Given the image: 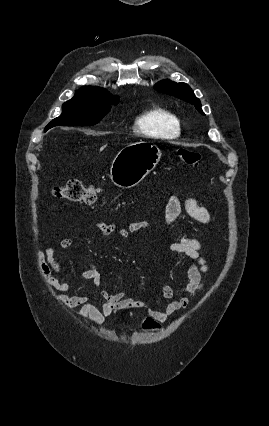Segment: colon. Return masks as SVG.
<instances>
[{
  "label": "colon",
  "mask_w": 269,
  "mask_h": 426,
  "mask_svg": "<svg viewBox=\"0 0 269 426\" xmlns=\"http://www.w3.org/2000/svg\"><path fill=\"white\" fill-rule=\"evenodd\" d=\"M177 153L180 161L185 165L195 166L199 163L200 155L196 151L179 149ZM53 193L58 199L69 202L94 205L97 201L95 187L92 185H86L77 179L68 180L65 183L57 185L54 188ZM145 326L147 328H156L157 323L152 318H148L145 321Z\"/></svg>",
  "instance_id": "1"
}]
</instances>
